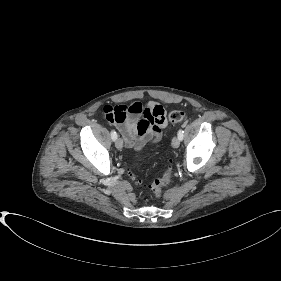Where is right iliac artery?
Segmentation results:
<instances>
[{"mask_svg": "<svg viewBox=\"0 0 281 281\" xmlns=\"http://www.w3.org/2000/svg\"><path fill=\"white\" fill-rule=\"evenodd\" d=\"M111 138H112V140H116L117 139V133L115 132V130L111 131Z\"/></svg>", "mask_w": 281, "mask_h": 281, "instance_id": "obj_1", "label": "right iliac artery"}]
</instances>
